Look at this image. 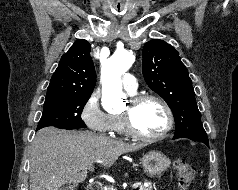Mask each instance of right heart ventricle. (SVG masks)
Here are the masks:
<instances>
[{"label": "right heart ventricle", "mask_w": 238, "mask_h": 190, "mask_svg": "<svg viewBox=\"0 0 238 190\" xmlns=\"http://www.w3.org/2000/svg\"><path fill=\"white\" fill-rule=\"evenodd\" d=\"M113 131L119 134L125 133V127L121 115H112Z\"/></svg>", "instance_id": "obj_1"}]
</instances>
